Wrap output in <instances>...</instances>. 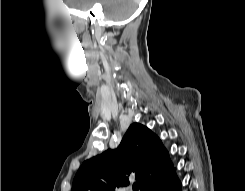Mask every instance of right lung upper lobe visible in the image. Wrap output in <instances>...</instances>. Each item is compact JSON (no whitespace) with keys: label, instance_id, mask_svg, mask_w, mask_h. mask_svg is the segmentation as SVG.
Listing matches in <instances>:
<instances>
[{"label":"right lung upper lobe","instance_id":"1","mask_svg":"<svg viewBox=\"0 0 245 191\" xmlns=\"http://www.w3.org/2000/svg\"><path fill=\"white\" fill-rule=\"evenodd\" d=\"M167 150L147 127L133 123L116 151L107 150L83 162L71 191H115L135 176L146 191L172 168Z\"/></svg>","mask_w":245,"mask_h":191}]
</instances>
